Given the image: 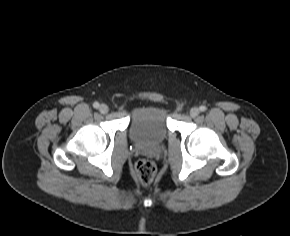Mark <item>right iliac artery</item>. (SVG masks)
<instances>
[{
  "label": "right iliac artery",
  "instance_id": "82829eb1",
  "mask_svg": "<svg viewBox=\"0 0 290 236\" xmlns=\"http://www.w3.org/2000/svg\"><path fill=\"white\" fill-rule=\"evenodd\" d=\"M93 107H94V108H98V107H99V103H98V102H95V103L93 104Z\"/></svg>",
  "mask_w": 290,
  "mask_h": 236
}]
</instances>
